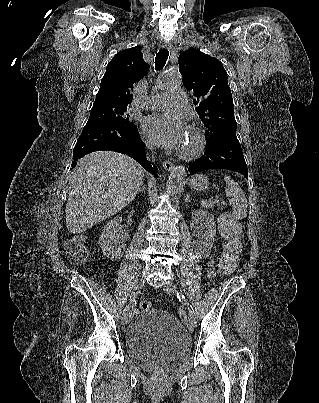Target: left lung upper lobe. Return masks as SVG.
Masks as SVG:
<instances>
[{"label":"left lung upper lobe","instance_id":"left-lung-upper-lobe-1","mask_svg":"<svg viewBox=\"0 0 319 403\" xmlns=\"http://www.w3.org/2000/svg\"><path fill=\"white\" fill-rule=\"evenodd\" d=\"M178 63L183 85L197 97L193 103L207 128V143L236 132L232 94L222 63L198 49L182 52Z\"/></svg>","mask_w":319,"mask_h":403}]
</instances>
